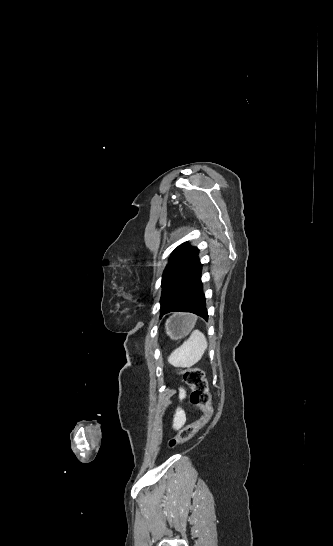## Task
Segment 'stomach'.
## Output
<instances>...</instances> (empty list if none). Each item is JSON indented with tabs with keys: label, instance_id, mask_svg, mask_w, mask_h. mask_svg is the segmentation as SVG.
Instances as JSON below:
<instances>
[{
	"label": "stomach",
	"instance_id": "stomach-1",
	"mask_svg": "<svg viewBox=\"0 0 333 546\" xmlns=\"http://www.w3.org/2000/svg\"><path fill=\"white\" fill-rule=\"evenodd\" d=\"M195 322L190 315H176L166 321V333L173 340L180 339L190 333Z\"/></svg>",
	"mask_w": 333,
	"mask_h": 546
}]
</instances>
